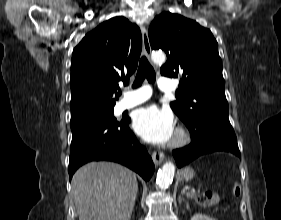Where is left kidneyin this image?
Instances as JSON below:
<instances>
[{
  "label": "left kidney",
  "mask_w": 281,
  "mask_h": 220,
  "mask_svg": "<svg viewBox=\"0 0 281 220\" xmlns=\"http://www.w3.org/2000/svg\"><path fill=\"white\" fill-rule=\"evenodd\" d=\"M190 220H216V219L209 217L207 215L198 213V214H195L193 217H191Z\"/></svg>",
  "instance_id": "1"
}]
</instances>
